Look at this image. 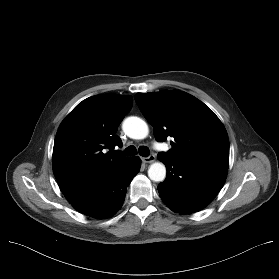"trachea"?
Here are the masks:
<instances>
[{"label": "trachea", "instance_id": "1", "mask_svg": "<svg viewBox=\"0 0 279 279\" xmlns=\"http://www.w3.org/2000/svg\"><path fill=\"white\" fill-rule=\"evenodd\" d=\"M138 152L143 157H148L150 153L149 148L146 146H140ZM124 154L126 156H134L137 154V149L135 148V146H129L128 148H126Z\"/></svg>", "mask_w": 279, "mask_h": 279}]
</instances>
